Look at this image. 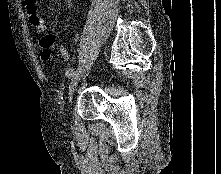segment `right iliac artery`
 Returning <instances> with one entry per match:
<instances>
[{"label": "right iliac artery", "instance_id": "82829eb1", "mask_svg": "<svg viewBox=\"0 0 221 174\" xmlns=\"http://www.w3.org/2000/svg\"><path fill=\"white\" fill-rule=\"evenodd\" d=\"M73 74H74V69H72V68H70L66 71V76L68 78H71L73 76Z\"/></svg>", "mask_w": 221, "mask_h": 174}]
</instances>
